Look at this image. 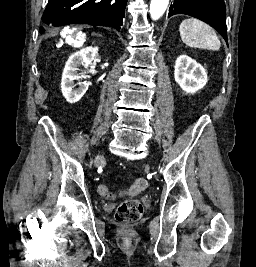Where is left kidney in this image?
<instances>
[{"instance_id": "left-kidney-1", "label": "left kidney", "mask_w": 256, "mask_h": 267, "mask_svg": "<svg viewBox=\"0 0 256 267\" xmlns=\"http://www.w3.org/2000/svg\"><path fill=\"white\" fill-rule=\"evenodd\" d=\"M174 78L186 94H196L208 82L203 66L197 64L196 60H192L186 54L178 56L175 62Z\"/></svg>"}]
</instances>
